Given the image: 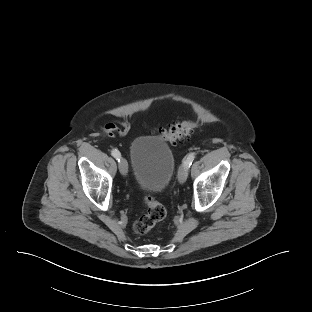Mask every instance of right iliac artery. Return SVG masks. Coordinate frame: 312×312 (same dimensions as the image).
Returning a JSON list of instances; mask_svg holds the SVG:
<instances>
[{
	"label": "right iliac artery",
	"instance_id": "82829eb1",
	"mask_svg": "<svg viewBox=\"0 0 312 312\" xmlns=\"http://www.w3.org/2000/svg\"><path fill=\"white\" fill-rule=\"evenodd\" d=\"M111 154L114 158H116V160H118V161L120 160L121 154L117 149H113L111 151Z\"/></svg>",
	"mask_w": 312,
	"mask_h": 312
}]
</instances>
